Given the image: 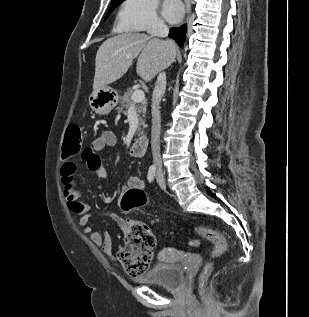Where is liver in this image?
Here are the masks:
<instances>
[{"instance_id":"obj_1","label":"liver","mask_w":309,"mask_h":317,"mask_svg":"<svg viewBox=\"0 0 309 317\" xmlns=\"http://www.w3.org/2000/svg\"><path fill=\"white\" fill-rule=\"evenodd\" d=\"M176 53L173 41L151 38L144 33H123L111 37L97 51L93 89L120 79L136 57V72L148 82L174 62Z\"/></svg>"}]
</instances>
